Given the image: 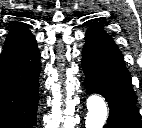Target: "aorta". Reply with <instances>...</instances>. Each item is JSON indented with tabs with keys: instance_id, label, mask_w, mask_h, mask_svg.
I'll return each mask as SVG.
<instances>
[{
	"instance_id": "762f6f07",
	"label": "aorta",
	"mask_w": 142,
	"mask_h": 128,
	"mask_svg": "<svg viewBox=\"0 0 142 128\" xmlns=\"http://www.w3.org/2000/svg\"><path fill=\"white\" fill-rule=\"evenodd\" d=\"M88 113L85 120L86 128H102L107 119V105L97 94L90 95L86 101Z\"/></svg>"
}]
</instances>
